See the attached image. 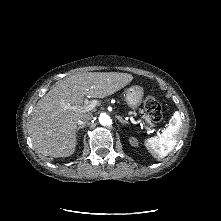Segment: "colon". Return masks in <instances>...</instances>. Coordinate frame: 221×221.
Wrapping results in <instances>:
<instances>
[{"label":"colon","mask_w":221,"mask_h":221,"mask_svg":"<svg viewBox=\"0 0 221 221\" xmlns=\"http://www.w3.org/2000/svg\"><path fill=\"white\" fill-rule=\"evenodd\" d=\"M144 108L153 122L159 123L162 120V106L154 96H148L145 99Z\"/></svg>","instance_id":"1"}]
</instances>
